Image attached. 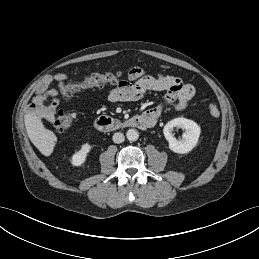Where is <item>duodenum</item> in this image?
Returning <instances> with one entry per match:
<instances>
[{
  "instance_id": "410a0bca",
  "label": "duodenum",
  "mask_w": 259,
  "mask_h": 259,
  "mask_svg": "<svg viewBox=\"0 0 259 259\" xmlns=\"http://www.w3.org/2000/svg\"><path fill=\"white\" fill-rule=\"evenodd\" d=\"M154 124L155 122L144 114L132 117L125 122H118L110 117L100 116L95 120L94 123L96 129L102 132L116 131L124 127L147 129Z\"/></svg>"
}]
</instances>
